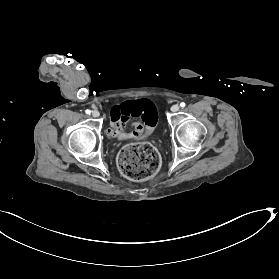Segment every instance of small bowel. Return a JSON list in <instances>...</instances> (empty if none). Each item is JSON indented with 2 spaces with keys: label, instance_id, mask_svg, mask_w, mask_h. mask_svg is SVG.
I'll return each mask as SVG.
<instances>
[{
  "label": "small bowel",
  "instance_id": "obj_1",
  "mask_svg": "<svg viewBox=\"0 0 279 279\" xmlns=\"http://www.w3.org/2000/svg\"><path fill=\"white\" fill-rule=\"evenodd\" d=\"M110 117L111 127L107 129L106 134L118 140L142 139L152 131L157 121L155 107L148 100L130 101L114 106ZM133 117L140 120L131 122L133 131L126 133L125 128Z\"/></svg>",
  "mask_w": 279,
  "mask_h": 279
}]
</instances>
